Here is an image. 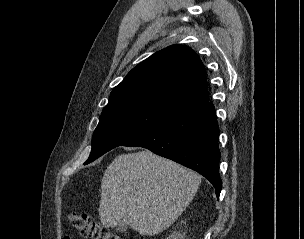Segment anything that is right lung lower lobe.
I'll list each match as a JSON object with an SVG mask.
<instances>
[{"label": "right lung lower lobe", "instance_id": "1", "mask_svg": "<svg viewBox=\"0 0 304 239\" xmlns=\"http://www.w3.org/2000/svg\"><path fill=\"white\" fill-rule=\"evenodd\" d=\"M219 127L215 108L206 102L171 118L123 146L144 147L155 154L191 168L214 186L219 197Z\"/></svg>", "mask_w": 304, "mask_h": 239}]
</instances>
